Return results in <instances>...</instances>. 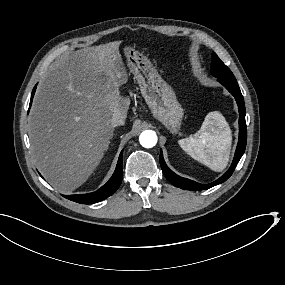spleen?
Listing matches in <instances>:
<instances>
[{
	"label": "spleen",
	"instance_id": "spleen-1",
	"mask_svg": "<svg viewBox=\"0 0 285 285\" xmlns=\"http://www.w3.org/2000/svg\"><path fill=\"white\" fill-rule=\"evenodd\" d=\"M230 141V132L223 117L209 112L196 133L178 139L177 143L191 158L218 172L227 163Z\"/></svg>",
	"mask_w": 285,
	"mask_h": 285
}]
</instances>
